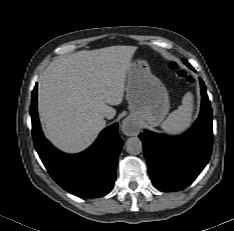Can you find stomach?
Masks as SVG:
<instances>
[{
  "instance_id": "0dacf381",
  "label": "stomach",
  "mask_w": 234,
  "mask_h": 231,
  "mask_svg": "<svg viewBox=\"0 0 234 231\" xmlns=\"http://www.w3.org/2000/svg\"><path fill=\"white\" fill-rule=\"evenodd\" d=\"M126 99L133 120L150 125L160 124L170 109L164 84L151 73L145 60L130 63L126 74Z\"/></svg>"
}]
</instances>
